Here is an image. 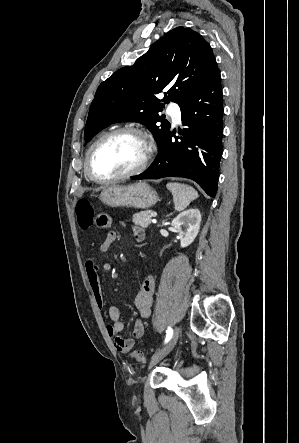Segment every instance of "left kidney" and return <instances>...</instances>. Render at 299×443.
Returning <instances> with one entry per match:
<instances>
[{
    "label": "left kidney",
    "instance_id": "5707ae66",
    "mask_svg": "<svg viewBox=\"0 0 299 443\" xmlns=\"http://www.w3.org/2000/svg\"><path fill=\"white\" fill-rule=\"evenodd\" d=\"M201 213L198 209H188L173 219L171 225L178 232L181 247L189 246L199 233Z\"/></svg>",
    "mask_w": 299,
    "mask_h": 443
}]
</instances>
